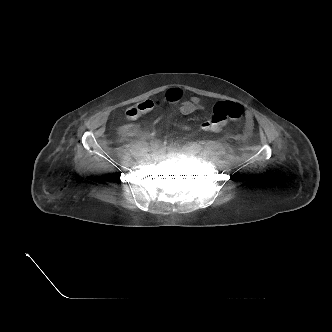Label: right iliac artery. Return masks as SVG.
Returning a JSON list of instances; mask_svg holds the SVG:
<instances>
[{
    "mask_svg": "<svg viewBox=\"0 0 332 332\" xmlns=\"http://www.w3.org/2000/svg\"><path fill=\"white\" fill-rule=\"evenodd\" d=\"M162 146V143L160 140H155L151 143L150 145V151H155L158 148H160Z\"/></svg>",
    "mask_w": 332,
    "mask_h": 332,
    "instance_id": "right-iliac-artery-1",
    "label": "right iliac artery"
}]
</instances>
